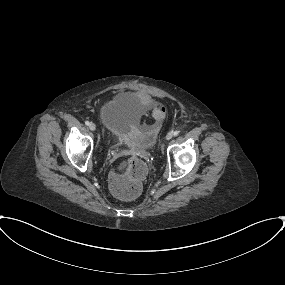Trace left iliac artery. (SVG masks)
Instances as JSON below:
<instances>
[{
	"label": "left iliac artery",
	"mask_w": 285,
	"mask_h": 285,
	"mask_svg": "<svg viewBox=\"0 0 285 285\" xmlns=\"http://www.w3.org/2000/svg\"><path fill=\"white\" fill-rule=\"evenodd\" d=\"M178 134H179V131H177V130L173 132L174 136H177Z\"/></svg>",
	"instance_id": "44dca946"
}]
</instances>
